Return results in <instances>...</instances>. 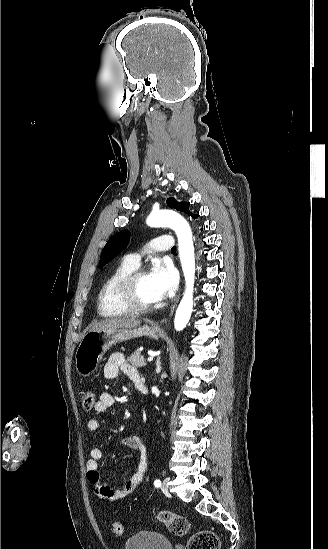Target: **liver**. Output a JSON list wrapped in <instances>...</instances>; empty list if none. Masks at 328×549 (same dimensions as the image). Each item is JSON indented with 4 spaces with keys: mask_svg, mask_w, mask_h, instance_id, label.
Segmentation results:
<instances>
[{
    "mask_svg": "<svg viewBox=\"0 0 328 549\" xmlns=\"http://www.w3.org/2000/svg\"><path fill=\"white\" fill-rule=\"evenodd\" d=\"M141 321L130 319V317H113V319H103L95 323L89 331H102V329H134L139 327Z\"/></svg>",
    "mask_w": 328,
    "mask_h": 549,
    "instance_id": "6515ba94",
    "label": "liver"
}]
</instances>
